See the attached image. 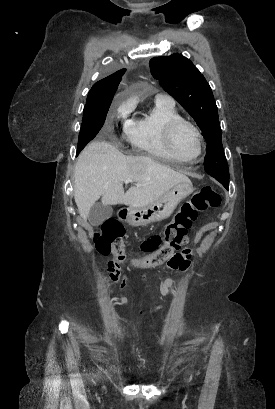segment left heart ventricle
Wrapping results in <instances>:
<instances>
[{
	"label": "left heart ventricle",
	"instance_id": "1",
	"mask_svg": "<svg viewBox=\"0 0 275 409\" xmlns=\"http://www.w3.org/2000/svg\"><path fill=\"white\" fill-rule=\"evenodd\" d=\"M174 151L178 157H193L196 154V140L188 127H182L177 131L174 139Z\"/></svg>",
	"mask_w": 275,
	"mask_h": 409
}]
</instances>
